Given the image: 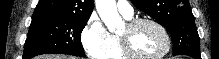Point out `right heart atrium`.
Returning a JSON list of instances; mask_svg holds the SVG:
<instances>
[{"label": "right heart atrium", "mask_w": 219, "mask_h": 59, "mask_svg": "<svg viewBox=\"0 0 219 59\" xmlns=\"http://www.w3.org/2000/svg\"><path fill=\"white\" fill-rule=\"evenodd\" d=\"M81 43L90 59H105L113 45L114 36L97 15H92L81 32Z\"/></svg>", "instance_id": "d8ad5b80"}]
</instances>
